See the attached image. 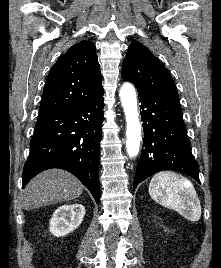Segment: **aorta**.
<instances>
[{"label": "aorta", "instance_id": "1", "mask_svg": "<svg viewBox=\"0 0 221 268\" xmlns=\"http://www.w3.org/2000/svg\"><path fill=\"white\" fill-rule=\"evenodd\" d=\"M120 100L126 117V145L129 157L139 153L141 141V125L137 108V98L134 86L125 83L120 89Z\"/></svg>", "mask_w": 221, "mask_h": 268}]
</instances>
